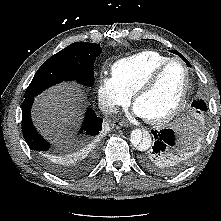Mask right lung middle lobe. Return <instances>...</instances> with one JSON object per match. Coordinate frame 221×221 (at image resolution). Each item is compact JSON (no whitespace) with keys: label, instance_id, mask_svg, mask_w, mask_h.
<instances>
[{"label":"right lung middle lobe","instance_id":"right-lung-middle-lobe-1","mask_svg":"<svg viewBox=\"0 0 221 221\" xmlns=\"http://www.w3.org/2000/svg\"><path fill=\"white\" fill-rule=\"evenodd\" d=\"M99 44L75 42L45 61L28 86L25 98L35 97L52 85L64 80L94 84V61L101 54Z\"/></svg>","mask_w":221,"mask_h":221}]
</instances>
